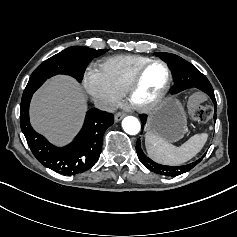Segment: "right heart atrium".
Listing matches in <instances>:
<instances>
[{
  "instance_id": "right-heart-atrium-1",
  "label": "right heart atrium",
  "mask_w": 237,
  "mask_h": 237,
  "mask_svg": "<svg viewBox=\"0 0 237 237\" xmlns=\"http://www.w3.org/2000/svg\"><path fill=\"white\" fill-rule=\"evenodd\" d=\"M83 86L92 102L103 111H112L122 96L100 67L86 69Z\"/></svg>"
}]
</instances>
